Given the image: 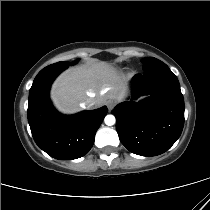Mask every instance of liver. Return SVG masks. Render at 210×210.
I'll use <instances>...</instances> for the list:
<instances>
[{"label": "liver", "mask_w": 210, "mask_h": 210, "mask_svg": "<svg viewBox=\"0 0 210 210\" xmlns=\"http://www.w3.org/2000/svg\"><path fill=\"white\" fill-rule=\"evenodd\" d=\"M128 78L103 62H91L68 69L53 83L51 98L63 113H75L87 98H94L101 107L108 99L122 100L127 92Z\"/></svg>", "instance_id": "obj_1"}]
</instances>
